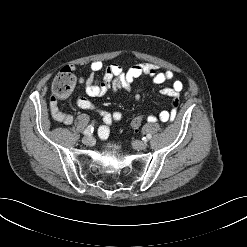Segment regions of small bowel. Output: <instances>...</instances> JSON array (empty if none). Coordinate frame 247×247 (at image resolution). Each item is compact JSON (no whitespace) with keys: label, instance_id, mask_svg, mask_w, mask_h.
<instances>
[{"label":"small bowel","instance_id":"small-bowel-1","mask_svg":"<svg viewBox=\"0 0 247 247\" xmlns=\"http://www.w3.org/2000/svg\"><path fill=\"white\" fill-rule=\"evenodd\" d=\"M149 76L153 84H162L174 78L175 73L172 70L160 71L158 67L151 63H138L124 70L118 64L112 63L105 66L101 61H93L89 65V74L81 76L79 82L83 84L84 91L88 97H101L109 90H124L131 94V98L138 101L141 98L144 88H133L134 81L141 76ZM183 89V83L175 80L172 86L164 87L160 90L163 96L172 98L171 111H162L159 115H150L149 122L161 120L163 122L173 120L176 115L175 101H178L179 95ZM76 106L96 112L103 120V125L99 127V136L101 139H107L110 134V126L113 122L120 121L122 114L120 111H106L96 106L87 97H78ZM50 112L54 120L69 125L73 122V116L59 110L53 102L50 104Z\"/></svg>","mask_w":247,"mask_h":247}]
</instances>
